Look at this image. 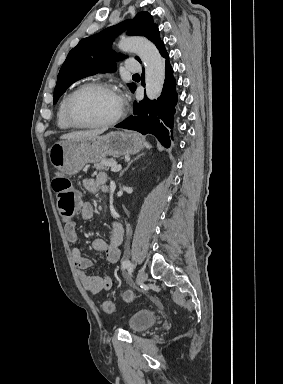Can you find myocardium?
<instances>
[{"mask_svg":"<svg viewBox=\"0 0 283 384\" xmlns=\"http://www.w3.org/2000/svg\"><path fill=\"white\" fill-rule=\"evenodd\" d=\"M89 90H105V91H110V92L115 94L114 88L108 83L93 82V83L81 85L80 87L75 89L69 95V97L66 100L65 107H64V118H65L66 123L72 129H77V130H100V129H106V128H109V127L115 125L121 119V117L123 115V107H122L121 103H119V108H118L116 115L112 119H110L106 122L97 123V124H90V125H80V124H77L73 120L72 114H71V109H72V105H73L74 100L81 93L89 91Z\"/></svg>","mask_w":283,"mask_h":384,"instance_id":"f54148a6","label":"myocardium"}]
</instances>
